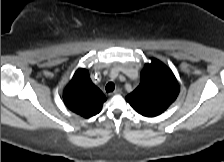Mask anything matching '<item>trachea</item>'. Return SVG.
I'll use <instances>...</instances> for the list:
<instances>
[{
	"label": "trachea",
	"instance_id": "3493384b",
	"mask_svg": "<svg viewBox=\"0 0 224 162\" xmlns=\"http://www.w3.org/2000/svg\"><path fill=\"white\" fill-rule=\"evenodd\" d=\"M105 89H106V92H107V93L112 92V91H114V89H115V84H114L113 82H109V83L106 85Z\"/></svg>",
	"mask_w": 224,
	"mask_h": 162
}]
</instances>
